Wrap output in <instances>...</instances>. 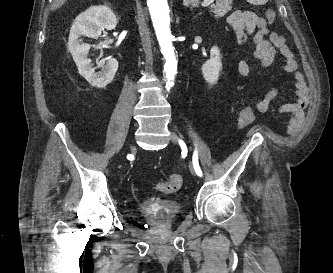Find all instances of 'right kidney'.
I'll return each mask as SVG.
<instances>
[{"instance_id": "ca27d5eb", "label": "right kidney", "mask_w": 333, "mask_h": 273, "mask_svg": "<svg viewBox=\"0 0 333 273\" xmlns=\"http://www.w3.org/2000/svg\"><path fill=\"white\" fill-rule=\"evenodd\" d=\"M117 25V18L107 5L91 6L85 12L76 17L70 29L68 49L76 63L79 74L90 85L104 88L112 82L118 69V62L114 58H105L99 61L98 68L104 71L95 72L88 53L89 44L82 42L81 37L86 36L98 39L104 29L113 30Z\"/></svg>"}]
</instances>
